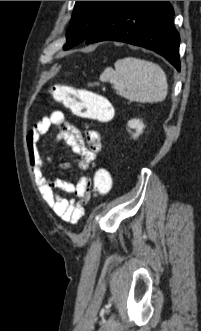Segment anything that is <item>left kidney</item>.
I'll return each instance as SVG.
<instances>
[{"label":"left kidney","mask_w":201,"mask_h":331,"mask_svg":"<svg viewBox=\"0 0 201 331\" xmlns=\"http://www.w3.org/2000/svg\"><path fill=\"white\" fill-rule=\"evenodd\" d=\"M128 127L130 129H135L136 132L133 134V138L136 139L143 131L144 124L139 119H132L128 121Z\"/></svg>","instance_id":"1"}]
</instances>
